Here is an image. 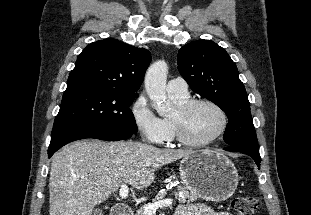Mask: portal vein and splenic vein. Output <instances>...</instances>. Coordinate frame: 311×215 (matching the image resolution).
<instances>
[{"mask_svg":"<svg viewBox=\"0 0 311 215\" xmlns=\"http://www.w3.org/2000/svg\"><path fill=\"white\" fill-rule=\"evenodd\" d=\"M128 195H129L128 185L126 183H123L120 187L119 196L122 199H126L128 197ZM172 203H173L172 199H165V200H160V201H157L154 203L146 204L145 206H143L144 214L145 215H155L156 210L158 208L170 206Z\"/></svg>","mask_w":311,"mask_h":215,"instance_id":"18ae733b","label":"portal vein and splenic vein"}]
</instances>
